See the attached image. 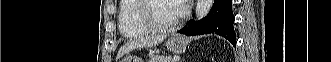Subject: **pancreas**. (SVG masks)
<instances>
[{
    "label": "pancreas",
    "instance_id": "obj_1",
    "mask_svg": "<svg viewBox=\"0 0 331 62\" xmlns=\"http://www.w3.org/2000/svg\"><path fill=\"white\" fill-rule=\"evenodd\" d=\"M151 62H172V58L170 56L156 55L152 58Z\"/></svg>",
    "mask_w": 331,
    "mask_h": 62
}]
</instances>
